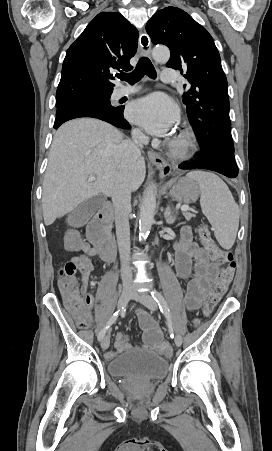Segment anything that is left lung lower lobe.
<instances>
[{
  "label": "left lung lower lobe",
  "instance_id": "0a47b994",
  "mask_svg": "<svg viewBox=\"0 0 272 451\" xmlns=\"http://www.w3.org/2000/svg\"><path fill=\"white\" fill-rule=\"evenodd\" d=\"M181 169H208L221 173L229 178L238 175V167L235 158H231L216 151H202L197 161L179 165Z\"/></svg>",
  "mask_w": 272,
  "mask_h": 451
}]
</instances>
